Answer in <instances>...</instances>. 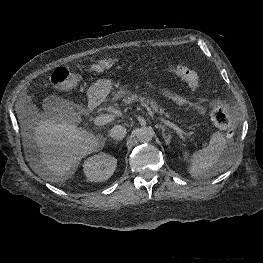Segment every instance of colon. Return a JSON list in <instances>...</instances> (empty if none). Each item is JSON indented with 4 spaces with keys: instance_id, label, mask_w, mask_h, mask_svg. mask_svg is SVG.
<instances>
[{
    "instance_id": "1",
    "label": "colon",
    "mask_w": 263,
    "mask_h": 263,
    "mask_svg": "<svg viewBox=\"0 0 263 263\" xmlns=\"http://www.w3.org/2000/svg\"><path fill=\"white\" fill-rule=\"evenodd\" d=\"M119 60L117 58H106L97 61L91 65L85 73L99 74L115 66ZM167 72L180 77L192 90H196L199 86V78L196 72L182 64L169 66ZM82 79V74L73 73L65 68H57L52 76L51 82L56 87L70 88L78 84ZM213 124L223 130L230 131L232 128V120L227 109L221 104L214 103L210 113Z\"/></svg>"
}]
</instances>
